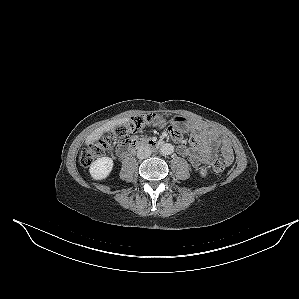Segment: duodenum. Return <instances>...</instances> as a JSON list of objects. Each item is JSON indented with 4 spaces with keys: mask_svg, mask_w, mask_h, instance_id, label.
<instances>
[{
    "mask_svg": "<svg viewBox=\"0 0 299 299\" xmlns=\"http://www.w3.org/2000/svg\"><path fill=\"white\" fill-rule=\"evenodd\" d=\"M140 147L158 149L160 147V143L152 139H132L120 145L118 151L122 157H125Z\"/></svg>",
    "mask_w": 299,
    "mask_h": 299,
    "instance_id": "1",
    "label": "duodenum"
}]
</instances>
